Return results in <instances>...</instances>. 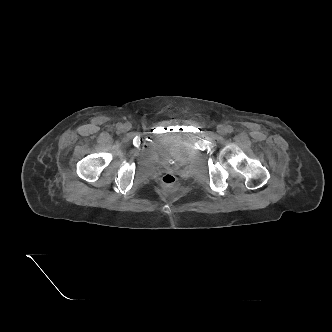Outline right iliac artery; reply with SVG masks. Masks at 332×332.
Wrapping results in <instances>:
<instances>
[{
	"mask_svg": "<svg viewBox=\"0 0 332 332\" xmlns=\"http://www.w3.org/2000/svg\"><path fill=\"white\" fill-rule=\"evenodd\" d=\"M116 127H117L118 129H121V128H122V124H121V123H118Z\"/></svg>",
	"mask_w": 332,
	"mask_h": 332,
	"instance_id": "82829eb1",
	"label": "right iliac artery"
}]
</instances>
